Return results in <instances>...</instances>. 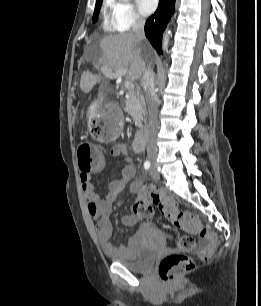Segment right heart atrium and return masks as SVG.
Returning <instances> with one entry per match:
<instances>
[{"mask_svg":"<svg viewBox=\"0 0 261 306\" xmlns=\"http://www.w3.org/2000/svg\"><path fill=\"white\" fill-rule=\"evenodd\" d=\"M111 25L115 30L128 31L140 26L143 18L130 0H108Z\"/></svg>","mask_w":261,"mask_h":306,"instance_id":"right-heart-atrium-1","label":"right heart atrium"}]
</instances>
